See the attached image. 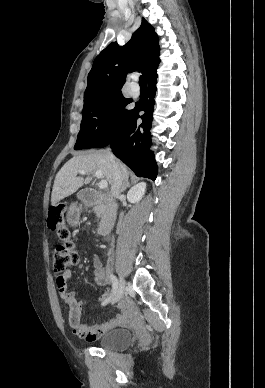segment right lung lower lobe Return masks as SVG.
Segmentation results:
<instances>
[{
	"label": "right lung lower lobe",
	"instance_id": "1",
	"mask_svg": "<svg viewBox=\"0 0 265 388\" xmlns=\"http://www.w3.org/2000/svg\"><path fill=\"white\" fill-rule=\"evenodd\" d=\"M157 83V75L148 80L147 95L136 103L134 109L122 125L115 139L109 144L113 153L130 167L137 176L155 180L157 166L154 154L148 149L151 145L150 129L153 120L154 97ZM144 113L139 116V113ZM142 119L137 124L138 118Z\"/></svg>",
	"mask_w": 265,
	"mask_h": 388
}]
</instances>
